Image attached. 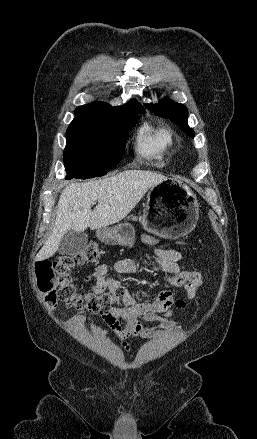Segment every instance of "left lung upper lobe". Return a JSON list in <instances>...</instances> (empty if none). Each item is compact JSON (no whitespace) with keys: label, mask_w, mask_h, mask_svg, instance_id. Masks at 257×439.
Returning <instances> with one entry per match:
<instances>
[{"label":"left lung upper lobe","mask_w":257,"mask_h":439,"mask_svg":"<svg viewBox=\"0 0 257 439\" xmlns=\"http://www.w3.org/2000/svg\"><path fill=\"white\" fill-rule=\"evenodd\" d=\"M145 107L153 111L157 116L171 119L175 124L194 138V131L188 126V110L179 103H176L169 98H164L157 104H145Z\"/></svg>","instance_id":"left-lung-upper-lobe-1"}]
</instances>
